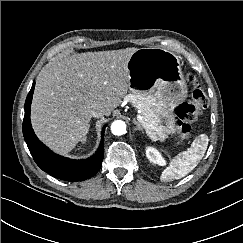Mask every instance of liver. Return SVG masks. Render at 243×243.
<instances>
[{"instance_id":"6515ba94","label":"liver","mask_w":243,"mask_h":243,"mask_svg":"<svg viewBox=\"0 0 243 243\" xmlns=\"http://www.w3.org/2000/svg\"><path fill=\"white\" fill-rule=\"evenodd\" d=\"M136 51L86 52L47 65L37 77L31 105L38 138L56 153L70 152L88 132L92 105H102L109 116L127 94V64Z\"/></svg>"}]
</instances>
